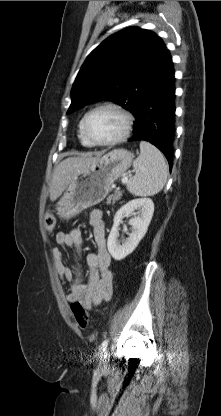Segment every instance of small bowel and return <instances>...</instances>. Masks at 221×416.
Wrapping results in <instances>:
<instances>
[{"label":"small bowel","instance_id":"small-bowel-1","mask_svg":"<svg viewBox=\"0 0 221 416\" xmlns=\"http://www.w3.org/2000/svg\"><path fill=\"white\" fill-rule=\"evenodd\" d=\"M93 239L97 250L88 253L86 264L89 269L88 281L82 283V273L79 267L70 268L64 262L62 251L52 249L55 269L60 278L70 284V291L66 295L68 302H79L86 309H92L104 301H109L113 294V272L111 270V256L106 247L105 222L102 212L94 210L89 217ZM56 241L59 245L75 248L78 252L84 244L81 229L74 228L69 232H58Z\"/></svg>","mask_w":221,"mask_h":416}]
</instances>
